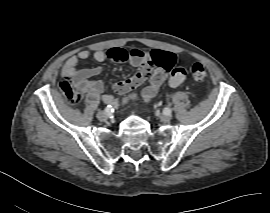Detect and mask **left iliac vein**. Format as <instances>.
Masks as SVG:
<instances>
[{
  "label": "left iliac vein",
  "mask_w": 270,
  "mask_h": 213,
  "mask_svg": "<svg viewBox=\"0 0 270 213\" xmlns=\"http://www.w3.org/2000/svg\"><path fill=\"white\" fill-rule=\"evenodd\" d=\"M159 118L164 123H168L171 121V116L168 114H160Z\"/></svg>",
  "instance_id": "obj_1"
}]
</instances>
